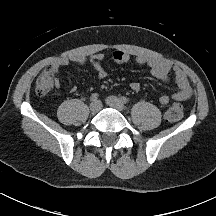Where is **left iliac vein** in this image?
I'll use <instances>...</instances> for the list:
<instances>
[{
	"instance_id": "4c4485c4",
	"label": "left iliac vein",
	"mask_w": 216,
	"mask_h": 216,
	"mask_svg": "<svg viewBox=\"0 0 216 216\" xmlns=\"http://www.w3.org/2000/svg\"><path fill=\"white\" fill-rule=\"evenodd\" d=\"M106 103H107L108 106H110L112 108H115V109H117L118 111H121V112L125 109L122 101L119 98L115 97V96L107 97Z\"/></svg>"
}]
</instances>
